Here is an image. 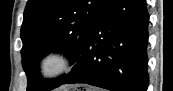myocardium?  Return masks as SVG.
Returning a JSON list of instances; mask_svg holds the SVG:
<instances>
[{"label": "myocardium", "mask_w": 173, "mask_h": 91, "mask_svg": "<svg viewBox=\"0 0 173 91\" xmlns=\"http://www.w3.org/2000/svg\"><path fill=\"white\" fill-rule=\"evenodd\" d=\"M72 56L63 49L53 48L44 52L38 60L37 71L43 80H54L71 71Z\"/></svg>", "instance_id": "obj_1"}]
</instances>
